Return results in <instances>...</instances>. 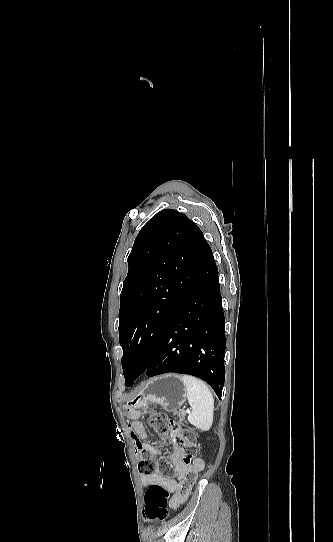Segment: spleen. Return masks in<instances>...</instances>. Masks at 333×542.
I'll use <instances>...</instances> for the list:
<instances>
[{
    "instance_id": "spleen-1",
    "label": "spleen",
    "mask_w": 333,
    "mask_h": 542,
    "mask_svg": "<svg viewBox=\"0 0 333 542\" xmlns=\"http://www.w3.org/2000/svg\"><path fill=\"white\" fill-rule=\"evenodd\" d=\"M186 388L188 404L191 412L189 424L208 432L213 424L214 398L206 384L194 376H179Z\"/></svg>"
}]
</instances>
